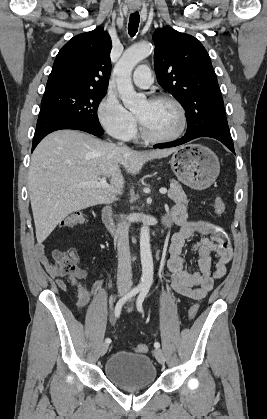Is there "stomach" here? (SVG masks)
<instances>
[{
	"label": "stomach",
	"mask_w": 267,
	"mask_h": 419,
	"mask_svg": "<svg viewBox=\"0 0 267 419\" xmlns=\"http://www.w3.org/2000/svg\"><path fill=\"white\" fill-rule=\"evenodd\" d=\"M170 165L178 180L195 190L210 187L220 171L216 154L201 144L178 147L171 157Z\"/></svg>",
	"instance_id": "0dacf381"
}]
</instances>
